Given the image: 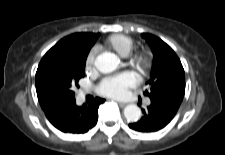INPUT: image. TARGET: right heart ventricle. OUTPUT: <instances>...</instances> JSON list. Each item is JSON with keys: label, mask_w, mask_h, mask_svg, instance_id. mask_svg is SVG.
I'll return each mask as SVG.
<instances>
[{"label": "right heart ventricle", "mask_w": 225, "mask_h": 155, "mask_svg": "<svg viewBox=\"0 0 225 155\" xmlns=\"http://www.w3.org/2000/svg\"><path fill=\"white\" fill-rule=\"evenodd\" d=\"M133 45V39L124 34H113L104 42V47L107 50L114 52L120 57L128 56L133 48Z\"/></svg>", "instance_id": "e07e8e85"}]
</instances>
